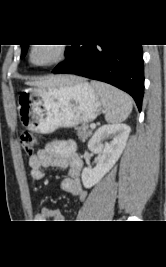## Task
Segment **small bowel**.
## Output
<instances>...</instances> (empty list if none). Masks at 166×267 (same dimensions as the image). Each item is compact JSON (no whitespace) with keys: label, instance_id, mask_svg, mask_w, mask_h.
I'll list each match as a JSON object with an SVG mask.
<instances>
[{"label":"small bowel","instance_id":"small-bowel-1","mask_svg":"<svg viewBox=\"0 0 166 267\" xmlns=\"http://www.w3.org/2000/svg\"><path fill=\"white\" fill-rule=\"evenodd\" d=\"M29 167L31 179L36 182L44 178L45 168L66 169L68 176L63 180L61 189L81 201L86 198L81 185L83 161L74 142L55 140L47 143L29 158ZM35 218L38 222H45L48 219L60 222L62 215L58 209L43 207Z\"/></svg>","mask_w":166,"mask_h":267}]
</instances>
